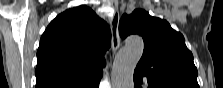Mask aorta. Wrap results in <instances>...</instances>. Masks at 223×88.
<instances>
[{"label": "aorta", "mask_w": 223, "mask_h": 88, "mask_svg": "<svg viewBox=\"0 0 223 88\" xmlns=\"http://www.w3.org/2000/svg\"><path fill=\"white\" fill-rule=\"evenodd\" d=\"M144 49L142 38L129 37L124 47L117 53L111 72L113 88H133L134 69L139 62Z\"/></svg>", "instance_id": "aorta-1"}]
</instances>
